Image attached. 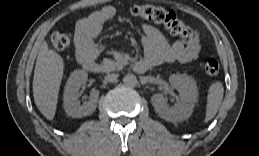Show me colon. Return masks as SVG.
I'll return each mask as SVG.
<instances>
[{
    "mask_svg": "<svg viewBox=\"0 0 259 156\" xmlns=\"http://www.w3.org/2000/svg\"><path fill=\"white\" fill-rule=\"evenodd\" d=\"M131 13L156 23L163 24L172 34L180 36L185 42L192 41L196 33L193 29L186 26L177 16L175 11L151 4L134 5ZM72 40V35L66 32H54L50 36V43L55 50L66 49ZM205 72L214 76L219 72V63L216 59H209L205 63Z\"/></svg>",
    "mask_w": 259,
    "mask_h": 156,
    "instance_id": "obj_1",
    "label": "colon"
}]
</instances>
